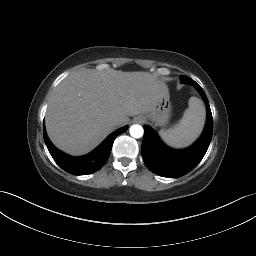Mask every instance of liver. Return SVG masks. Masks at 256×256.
I'll list each match as a JSON object with an SVG mask.
<instances>
[{"instance_id":"6515ba94","label":"liver","mask_w":256,"mask_h":256,"mask_svg":"<svg viewBox=\"0 0 256 256\" xmlns=\"http://www.w3.org/2000/svg\"><path fill=\"white\" fill-rule=\"evenodd\" d=\"M168 92L166 84L148 72L81 70L67 76L49 100L45 125L53 144L74 156L98 146L129 116L149 112Z\"/></svg>"}]
</instances>
